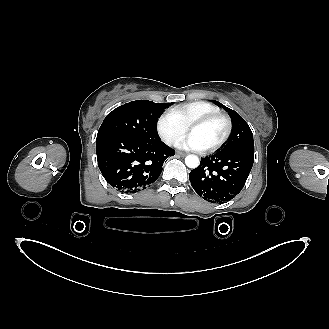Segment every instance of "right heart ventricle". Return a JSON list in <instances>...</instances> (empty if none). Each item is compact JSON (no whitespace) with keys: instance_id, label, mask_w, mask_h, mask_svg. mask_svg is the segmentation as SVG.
Listing matches in <instances>:
<instances>
[{"instance_id":"e07e8e85","label":"right heart ventricle","mask_w":329,"mask_h":329,"mask_svg":"<svg viewBox=\"0 0 329 329\" xmlns=\"http://www.w3.org/2000/svg\"><path fill=\"white\" fill-rule=\"evenodd\" d=\"M171 111L187 127L193 120L199 117L220 112V108L210 102L200 100L175 106Z\"/></svg>"}]
</instances>
